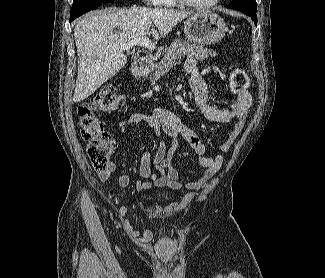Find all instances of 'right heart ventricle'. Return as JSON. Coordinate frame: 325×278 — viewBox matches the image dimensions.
Listing matches in <instances>:
<instances>
[{"mask_svg":"<svg viewBox=\"0 0 325 278\" xmlns=\"http://www.w3.org/2000/svg\"><path fill=\"white\" fill-rule=\"evenodd\" d=\"M160 4L167 7H172L177 4V0H162Z\"/></svg>","mask_w":325,"mask_h":278,"instance_id":"e07e8e85","label":"right heart ventricle"}]
</instances>
